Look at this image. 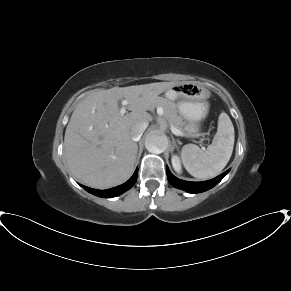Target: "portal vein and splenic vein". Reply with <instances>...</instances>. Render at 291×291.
Wrapping results in <instances>:
<instances>
[{
    "mask_svg": "<svg viewBox=\"0 0 291 291\" xmlns=\"http://www.w3.org/2000/svg\"><path fill=\"white\" fill-rule=\"evenodd\" d=\"M127 105H128V101L123 100V101H122V108L120 109V114H121V115H124V114L126 113V106H127ZM162 114H163V110L160 109V110L158 111V115H159V116H162ZM170 129H171V132H172L174 135H176V136H182V135H183V133H182L180 130H178L176 127H174L173 125H170ZM202 149L205 150L204 147H202Z\"/></svg>",
    "mask_w": 291,
    "mask_h": 291,
    "instance_id": "portal-vein-and-splenic-vein-1",
    "label": "portal vein and splenic vein"
}]
</instances>
